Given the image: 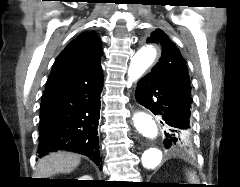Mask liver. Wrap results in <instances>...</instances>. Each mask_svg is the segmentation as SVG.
I'll return each instance as SVG.
<instances>
[{
  "mask_svg": "<svg viewBox=\"0 0 240 187\" xmlns=\"http://www.w3.org/2000/svg\"><path fill=\"white\" fill-rule=\"evenodd\" d=\"M80 161L78 154L65 151L53 152L38 161L35 176L48 178L58 173H70Z\"/></svg>",
  "mask_w": 240,
  "mask_h": 187,
  "instance_id": "1",
  "label": "liver"
}]
</instances>
